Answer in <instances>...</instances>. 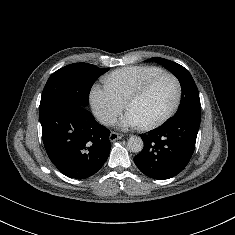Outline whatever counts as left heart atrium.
<instances>
[{
  "label": "left heart atrium",
  "instance_id": "1",
  "mask_svg": "<svg viewBox=\"0 0 235 235\" xmlns=\"http://www.w3.org/2000/svg\"><path fill=\"white\" fill-rule=\"evenodd\" d=\"M117 125L122 129L137 128L141 126L139 120L134 116L133 113L127 111L118 121Z\"/></svg>",
  "mask_w": 235,
  "mask_h": 235
}]
</instances>
